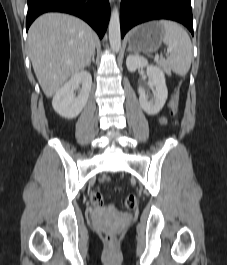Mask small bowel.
I'll return each instance as SVG.
<instances>
[{
	"label": "small bowel",
	"mask_w": 227,
	"mask_h": 265,
	"mask_svg": "<svg viewBox=\"0 0 227 265\" xmlns=\"http://www.w3.org/2000/svg\"><path fill=\"white\" fill-rule=\"evenodd\" d=\"M158 121H159L160 124H165V118L164 117H160L158 119Z\"/></svg>",
	"instance_id": "1"
}]
</instances>
